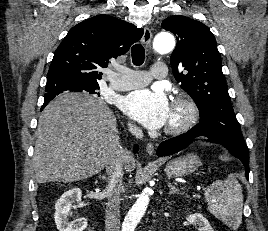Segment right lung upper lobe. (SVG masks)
Segmentation results:
<instances>
[{"mask_svg": "<svg viewBox=\"0 0 268 231\" xmlns=\"http://www.w3.org/2000/svg\"><path fill=\"white\" fill-rule=\"evenodd\" d=\"M143 29L109 15H97L71 28L54 53L47 85L99 86L103 68L139 41ZM52 98L45 97L43 105Z\"/></svg>", "mask_w": 268, "mask_h": 231, "instance_id": "right-lung-upper-lobe-1", "label": "right lung upper lobe"}]
</instances>
